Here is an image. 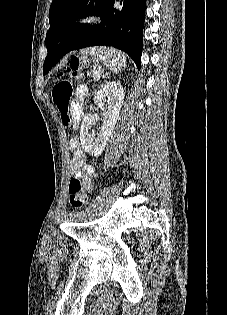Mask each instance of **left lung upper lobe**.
<instances>
[{
  "instance_id": "obj_1",
  "label": "left lung upper lobe",
  "mask_w": 227,
  "mask_h": 315,
  "mask_svg": "<svg viewBox=\"0 0 227 315\" xmlns=\"http://www.w3.org/2000/svg\"><path fill=\"white\" fill-rule=\"evenodd\" d=\"M108 0H53L49 10L50 28L46 40L60 38L68 46L74 45L86 36L91 27L75 24L79 18L88 15L99 16ZM43 74H45L43 69Z\"/></svg>"
}]
</instances>
